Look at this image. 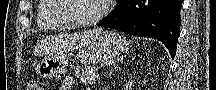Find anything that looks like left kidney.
Wrapping results in <instances>:
<instances>
[{"label":"left kidney","instance_id":"left-kidney-1","mask_svg":"<svg viewBox=\"0 0 216 90\" xmlns=\"http://www.w3.org/2000/svg\"><path fill=\"white\" fill-rule=\"evenodd\" d=\"M133 80H129L126 84V90H132Z\"/></svg>","mask_w":216,"mask_h":90}]
</instances>
